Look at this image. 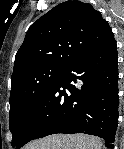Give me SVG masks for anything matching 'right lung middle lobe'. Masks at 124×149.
Segmentation results:
<instances>
[{
	"mask_svg": "<svg viewBox=\"0 0 124 149\" xmlns=\"http://www.w3.org/2000/svg\"><path fill=\"white\" fill-rule=\"evenodd\" d=\"M63 68L41 67L23 75L13 86L10 95V123L12 147L21 138L29 121L45 98Z\"/></svg>",
	"mask_w": 124,
	"mask_h": 149,
	"instance_id": "right-lung-middle-lobe-1",
	"label": "right lung middle lobe"
}]
</instances>
